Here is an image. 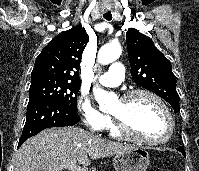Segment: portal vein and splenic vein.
Instances as JSON below:
<instances>
[{
  "label": "portal vein and splenic vein",
  "mask_w": 199,
  "mask_h": 171,
  "mask_svg": "<svg viewBox=\"0 0 199 171\" xmlns=\"http://www.w3.org/2000/svg\"><path fill=\"white\" fill-rule=\"evenodd\" d=\"M60 167L68 169L69 171H86V169L77 166L76 162H69L66 164H61Z\"/></svg>",
  "instance_id": "1"
}]
</instances>
